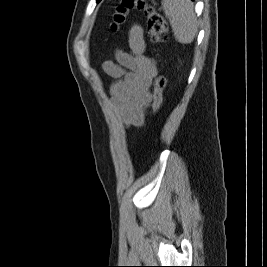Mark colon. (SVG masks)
Returning a JSON list of instances; mask_svg holds the SVG:
<instances>
[{
    "mask_svg": "<svg viewBox=\"0 0 267 267\" xmlns=\"http://www.w3.org/2000/svg\"><path fill=\"white\" fill-rule=\"evenodd\" d=\"M137 9L145 13L147 18V31L154 43L164 42L168 34V23L163 15L147 0H120L113 14L112 29L116 30L126 20L130 10ZM166 85L164 76L156 77L153 85L152 105L157 113L163 103V91Z\"/></svg>",
    "mask_w": 267,
    "mask_h": 267,
    "instance_id": "colon-1",
    "label": "colon"
}]
</instances>
